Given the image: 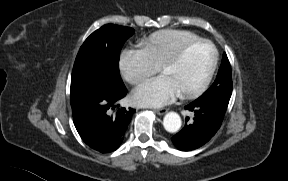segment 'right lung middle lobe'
Here are the masks:
<instances>
[{
    "mask_svg": "<svg viewBox=\"0 0 288 181\" xmlns=\"http://www.w3.org/2000/svg\"><path fill=\"white\" fill-rule=\"evenodd\" d=\"M134 34L130 27L107 24L93 32L81 46L71 77L72 113L82 102L86 83L100 75L114 87L123 86L119 73V57L124 42Z\"/></svg>",
    "mask_w": 288,
    "mask_h": 181,
    "instance_id": "right-lung-middle-lobe-1",
    "label": "right lung middle lobe"
}]
</instances>
